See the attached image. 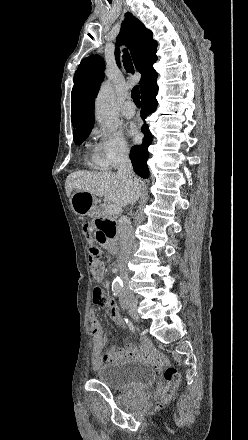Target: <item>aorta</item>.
Returning <instances> with one entry per match:
<instances>
[{"label": "aorta", "instance_id": "1", "mask_svg": "<svg viewBox=\"0 0 248 440\" xmlns=\"http://www.w3.org/2000/svg\"><path fill=\"white\" fill-rule=\"evenodd\" d=\"M95 115L103 129L112 132L118 127L119 117L116 111L114 92L112 88L107 85L102 86L98 93ZM121 285V279L119 277L115 278L112 287L120 288Z\"/></svg>", "mask_w": 248, "mask_h": 440}]
</instances>
